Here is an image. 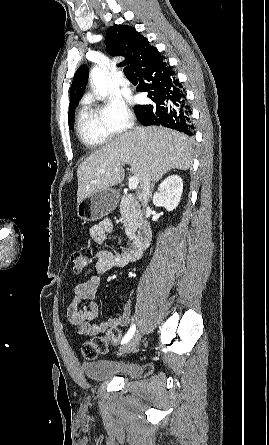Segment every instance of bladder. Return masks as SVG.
I'll list each match as a JSON object with an SVG mask.
<instances>
[{
	"label": "bladder",
	"instance_id": "1",
	"mask_svg": "<svg viewBox=\"0 0 269 445\" xmlns=\"http://www.w3.org/2000/svg\"><path fill=\"white\" fill-rule=\"evenodd\" d=\"M81 368L88 379L95 381H103L116 376L134 378L142 371L138 363H121L111 360L84 361L81 363Z\"/></svg>",
	"mask_w": 269,
	"mask_h": 445
}]
</instances>
